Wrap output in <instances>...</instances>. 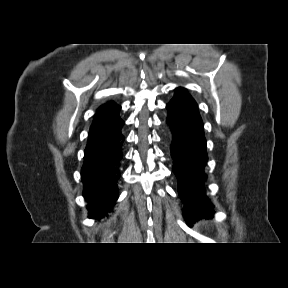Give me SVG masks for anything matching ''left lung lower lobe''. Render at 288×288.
Here are the masks:
<instances>
[{
	"mask_svg": "<svg viewBox=\"0 0 288 288\" xmlns=\"http://www.w3.org/2000/svg\"><path fill=\"white\" fill-rule=\"evenodd\" d=\"M166 108L167 122L173 132V172L178 179L180 199L184 203L183 215L191 226L193 221L210 217L215 212L204 188L208 156L203 122L197 103L184 88L176 90Z\"/></svg>",
	"mask_w": 288,
	"mask_h": 288,
	"instance_id": "left-lung-lower-lobe-1",
	"label": "left lung lower lobe"
}]
</instances>
